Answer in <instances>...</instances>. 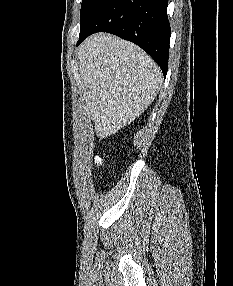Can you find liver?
Here are the masks:
<instances>
[{"mask_svg": "<svg viewBox=\"0 0 233 286\" xmlns=\"http://www.w3.org/2000/svg\"><path fill=\"white\" fill-rule=\"evenodd\" d=\"M85 101L97 137L105 139L137 118L155 99L163 76L135 44L99 33L78 49Z\"/></svg>", "mask_w": 233, "mask_h": 286, "instance_id": "1", "label": "liver"}]
</instances>
